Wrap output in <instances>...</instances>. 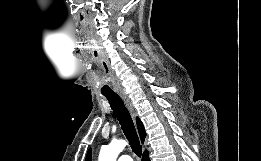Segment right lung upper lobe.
I'll return each mask as SVG.
<instances>
[{"label": "right lung upper lobe", "instance_id": "cb5924a9", "mask_svg": "<svg viewBox=\"0 0 261 161\" xmlns=\"http://www.w3.org/2000/svg\"><path fill=\"white\" fill-rule=\"evenodd\" d=\"M137 127H138V131L141 137L142 142L144 141V138L146 136V132L144 130V126L142 124V122L139 120V118H137ZM85 161H91V150L88 152L86 160Z\"/></svg>", "mask_w": 261, "mask_h": 161}]
</instances>
